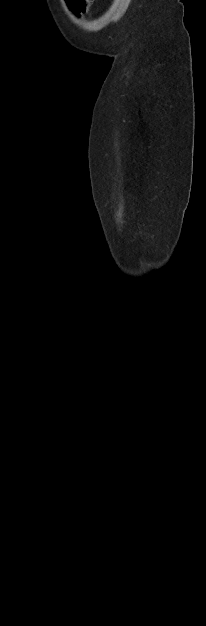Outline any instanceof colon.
Returning a JSON list of instances; mask_svg holds the SVG:
<instances>
[{"label": "colon", "mask_w": 206, "mask_h": 626, "mask_svg": "<svg viewBox=\"0 0 206 626\" xmlns=\"http://www.w3.org/2000/svg\"><path fill=\"white\" fill-rule=\"evenodd\" d=\"M70 9L77 15L85 13L93 0H66Z\"/></svg>", "instance_id": "colon-1"}]
</instances>
